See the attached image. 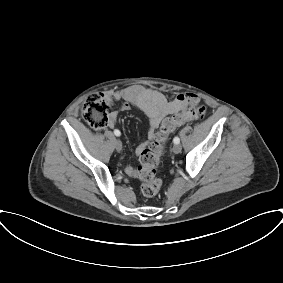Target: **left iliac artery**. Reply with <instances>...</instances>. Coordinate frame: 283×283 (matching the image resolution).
Returning a JSON list of instances; mask_svg holds the SVG:
<instances>
[{"mask_svg":"<svg viewBox=\"0 0 283 283\" xmlns=\"http://www.w3.org/2000/svg\"><path fill=\"white\" fill-rule=\"evenodd\" d=\"M173 142H174L175 144H179V143H180V139H179L178 137H175V138L173 139Z\"/></svg>","mask_w":283,"mask_h":283,"instance_id":"left-iliac-artery-1","label":"left iliac artery"}]
</instances>
